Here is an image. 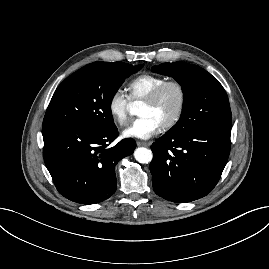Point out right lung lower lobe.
<instances>
[{
  "instance_id": "right-lung-lower-lobe-1",
  "label": "right lung lower lobe",
  "mask_w": 269,
  "mask_h": 269,
  "mask_svg": "<svg viewBox=\"0 0 269 269\" xmlns=\"http://www.w3.org/2000/svg\"><path fill=\"white\" fill-rule=\"evenodd\" d=\"M45 165L57 190L79 204H96L117 189L116 163L133 153V139L121 140L115 127L96 131L77 125H55L42 130Z\"/></svg>"
}]
</instances>
